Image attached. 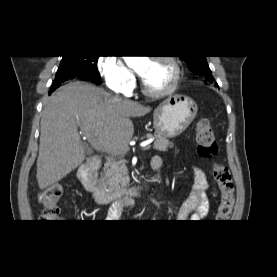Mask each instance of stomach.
<instances>
[{
	"label": "stomach",
	"instance_id": "stomach-1",
	"mask_svg": "<svg viewBox=\"0 0 277 277\" xmlns=\"http://www.w3.org/2000/svg\"><path fill=\"white\" fill-rule=\"evenodd\" d=\"M194 100L185 95H173L154 110L153 127L157 135L174 138L182 134L197 115Z\"/></svg>",
	"mask_w": 277,
	"mask_h": 277
}]
</instances>
